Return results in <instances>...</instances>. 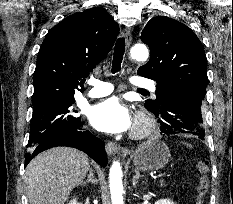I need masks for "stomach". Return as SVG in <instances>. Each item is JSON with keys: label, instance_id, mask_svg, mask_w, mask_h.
Wrapping results in <instances>:
<instances>
[{"label": "stomach", "instance_id": "stomach-1", "mask_svg": "<svg viewBox=\"0 0 233 204\" xmlns=\"http://www.w3.org/2000/svg\"><path fill=\"white\" fill-rule=\"evenodd\" d=\"M169 159V148L159 140H150L141 144L133 154V164L142 171L162 169Z\"/></svg>", "mask_w": 233, "mask_h": 204}]
</instances>
